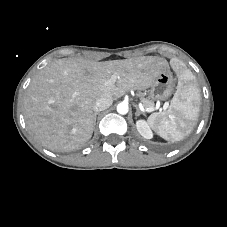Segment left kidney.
<instances>
[{
	"instance_id": "1",
	"label": "left kidney",
	"mask_w": 227,
	"mask_h": 227,
	"mask_svg": "<svg viewBox=\"0 0 227 227\" xmlns=\"http://www.w3.org/2000/svg\"><path fill=\"white\" fill-rule=\"evenodd\" d=\"M136 128L138 130V132L140 133L141 136H143L146 139H151L153 137V133L150 129V126L148 124V122H146L145 120H137L136 121Z\"/></svg>"
}]
</instances>
